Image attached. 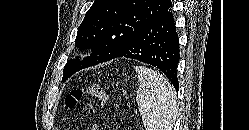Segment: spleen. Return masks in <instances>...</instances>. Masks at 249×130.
I'll list each match as a JSON object with an SVG mask.
<instances>
[{"mask_svg": "<svg viewBox=\"0 0 249 130\" xmlns=\"http://www.w3.org/2000/svg\"><path fill=\"white\" fill-rule=\"evenodd\" d=\"M138 91L136 101L146 130H172L177 117L176 93L168 79L159 72L136 66Z\"/></svg>", "mask_w": 249, "mask_h": 130, "instance_id": "1", "label": "spleen"}]
</instances>
